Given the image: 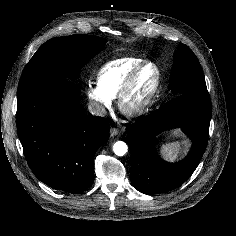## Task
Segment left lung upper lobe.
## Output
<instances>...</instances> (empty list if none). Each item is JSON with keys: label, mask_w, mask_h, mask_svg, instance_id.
<instances>
[{"label": "left lung upper lobe", "mask_w": 236, "mask_h": 236, "mask_svg": "<svg viewBox=\"0 0 236 236\" xmlns=\"http://www.w3.org/2000/svg\"><path fill=\"white\" fill-rule=\"evenodd\" d=\"M169 89L175 95L192 91H207L200 63L193 51L180 43L174 53Z\"/></svg>", "instance_id": "5c2ea615"}]
</instances>
